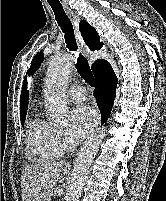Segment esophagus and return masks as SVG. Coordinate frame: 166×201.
Instances as JSON below:
<instances>
[{"instance_id": "obj_1", "label": "esophagus", "mask_w": 166, "mask_h": 201, "mask_svg": "<svg viewBox=\"0 0 166 201\" xmlns=\"http://www.w3.org/2000/svg\"><path fill=\"white\" fill-rule=\"evenodd\" d=\"M66 11L72 19V23H73V27H74V34H75L77 45H78L79 49L81 50V52L84 54V56L88 59L90 57L91 53H90L88 47L85 45V43L81 37L80 31H79L80 18L78 15L74 14L72 10L66 9ZM99 128L100 127H97L95 129V132L98 131Z\"/></svg>"}]
</instances>
